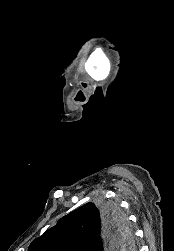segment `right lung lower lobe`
I'll return each mask as SVG.
<instances>
[{"instance_id": "98d812e1", "label": "right lung lower lobe", "mask_w": 174, "mask_h": 251, "mask_svg": "<svg viewBox=\"0 0 174 251\" xmlns=\"http://www.w3.org/2000/svg\"><path fill=\"white\" fill-rule=\"evenodd\" d=\"M116 233V227L111 224L106 218L103 220V233L101 236V242L103 244V247H111L113 245V236ZM106 250H111V251H115V249H104V251ZM118 250V249H116Z\"/></svg>"}]
</instances>
